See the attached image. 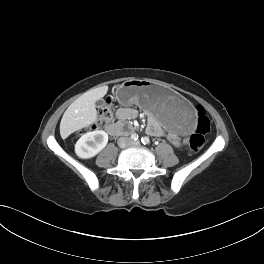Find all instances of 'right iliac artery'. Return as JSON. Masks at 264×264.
<instances>
[{"label":"right iliac artery","instance_id":"obj_1","mask_svg":"<svg viewBox=\"0 0 264 264\" xmlns=\"http://www.w3.org/2000/svg\"><path fill=\"white\" fill-rule=\"evenodd\" d=\"M131 139L136 141L138 139V135L135 133V134H132L131 135Z\"/></svg>","mask_w":264,"mask_h":264}]
</instances>
